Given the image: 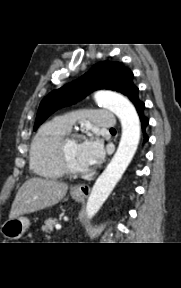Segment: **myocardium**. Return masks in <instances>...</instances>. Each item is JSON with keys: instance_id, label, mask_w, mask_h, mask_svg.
<instances>
[{"instance_id": "obj_1", "label": "myocardium", "mask_w": 181, "mask_h": 288, "mask_svg": "<svg viewBox=\"0 0 181 288\" xmlns=\"http://www.w3.org/2000/svg\"><path fill=\"white\" fill-rule=\"evenodd\" d=\"M79 139V134L77 133H66L58 142L57 145V159H58V163L62 169V171L64 172V174L70 175V176H74V177H78V176H83L87 173V170H77L74 169L66 156V152H65V148L68 142L72 141V140H78Z\"/></svg>"}]
</instances>
